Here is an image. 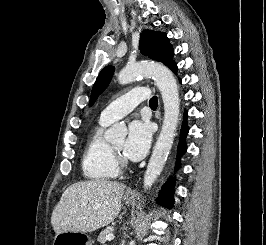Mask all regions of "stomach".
<instances>
[{"instance_id":"obj_1","label":"stomach","mask_w":266,"mask_h":245,"mask_svg":"<svg viewBox=\"0 0 266 245\" xmlns=\"http://www.w3.org/2000/svg\"><path fill=\"white\" fill-rule=\"evenodd\" d=\"M125 205H131V199L124 197ZM57 242H71L73 245H92V241L86 233H56Z\"/></svg>"}]
</instances>
